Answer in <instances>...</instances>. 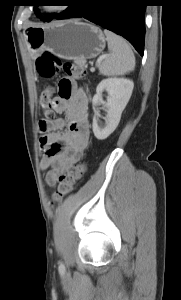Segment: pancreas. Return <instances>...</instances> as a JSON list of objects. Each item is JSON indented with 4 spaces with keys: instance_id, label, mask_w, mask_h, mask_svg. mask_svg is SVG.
<instances>
[{
    "instance_id": "obj_1",
    "label": "pancreas",
    "mask_w": 181,
    "mask_h": 300,
    "mask_svg": "<svg viewBox=\"0 0 181 300\" xmlns=\"http://www.w3.org/2000/svg\"><path fill=\"white\" fill-rule=\"evenodd\" d=\"M74 62H75V64L78 65V66H83V65H84V63H82L81 61H74Z\"/></svg>"
}]
</instances>
